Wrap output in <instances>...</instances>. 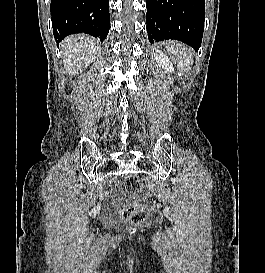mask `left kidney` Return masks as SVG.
I'll use <instances>...</instances> for the list:
<instances>
[{"instance_id": "5707ae66", "label": "left kidney", "mask_w": 265, "mask_h": 273, "mask_svg": "<svg viewBox=\"0 0 265 273\" xmlns=\"http://www.w3.org/2000/svg\"><path fill=\"white\" fill-rule=\"evenodd\" d=\"M154 57H155L157 63L159 64V66H161L167 72H174V68H173L172 63L170 62L167 55H165L162 51L157 50L154 53Z\"/></svg>"}]
</instances>
